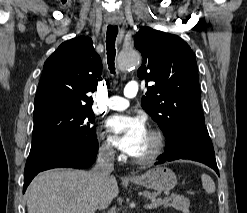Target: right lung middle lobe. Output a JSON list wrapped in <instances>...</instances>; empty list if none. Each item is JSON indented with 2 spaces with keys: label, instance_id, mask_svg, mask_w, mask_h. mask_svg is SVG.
<instances>
[{
  "label": "right lung middle lobe",
  "instance_id": "1",
  "mask_svg": "<svg viewBox=\"0 0 247 213\" xmlns=\"http://www.w3.org/2000/svg\"><path fill=\"white\" fill-rule=\"evenodd\" d=\"M95 116L90 108L51 106L33 115L31 150L64 137H73L79 146L91 148L97 142L96 129L92 126Z\"/></svg>",
  "mask_w": 247,
  "mask_h": 213
}]
</instances>
